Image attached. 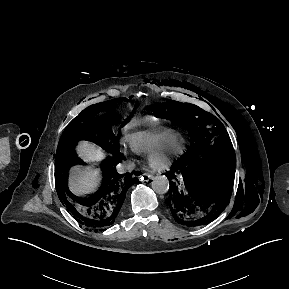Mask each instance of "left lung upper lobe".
<instances>
[{"instance_id":"5c2ea615","label":"left lung upper lobe","mask_w":289,"mask_h":289,"mask_svg":"<svg viewBox=\"0 0 289 289\" xmlns=\"http://www.w3.org/2000/svg\"><path fill=\"white\" fill-rule=\"evenodd\" d=\"M159 118L183 125L191 138V146L210 150L218 168L225 169L236 162L235 152L222 122L194 104L169 100L152 106ZM191 148V147H190Z\"/></svg>"}]
</instances>
